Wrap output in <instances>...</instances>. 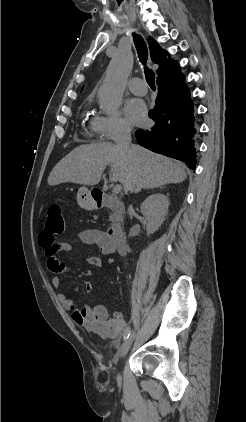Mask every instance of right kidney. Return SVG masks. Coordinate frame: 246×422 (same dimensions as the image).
<instances>
[{
  "mask_svg": "<svg viewBox=\"0 0 246 422\" xmlns=\"http://www.w3.org/2000/svg\"><path fill=\"white\" fill-rule=\"evenodd\" d=\"M168 198L164 194L155 193L147 197L141 204V212L147 220V235L159 229L168 211Z\"/></svg>",
  "mask_w": 246,
  "mask_h": 422,
  "instance_id": "right-kidney-1",
  "label": "right kidney"
}]
</instances>
